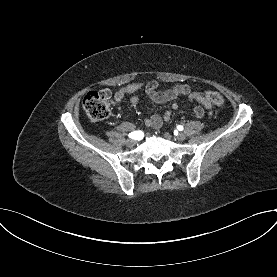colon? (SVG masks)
Instances as JSON below:
<instances>
[{
	"label": "colon",
	"instance_id": "colon-1",
	"mask_svg": "<svg viewBox=\"0 0 277 277\" xmlns=\"http://www.w3.org/2000/svg\"><path fill=\"white\" fill-rule=\"evenodd\" d=\"M209 101L215 105H222L224 100L223 97L214 91L206 93ZM113 101L111 99V93L107 89L91 91L83 100L84 111L93 122H99L106 119L112 110Z\"/></svg>",
	"mask_w": 277,
	"mask_h": 277
}]
</instances>
